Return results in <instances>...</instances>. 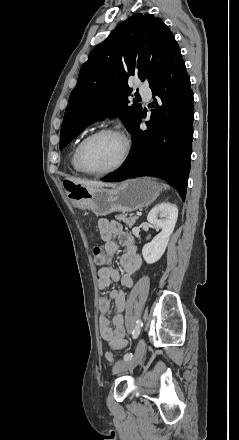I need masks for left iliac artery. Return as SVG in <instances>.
I'll return each instance as SVG.
<instances>
[{"label":"left iliac artery","instance_id":"1","mask_svg":"<svg viewBox=\"0 0 239 440\" xmlns=\"http://www.w3.org/2000/svg\"><path fill=\"white\" fill-rule=\"evenodd\" d=\"M142 326H143L142 321H141V320H137L136 326H135V328H134V330H133V332H132V338H133V339L138 338ZM132 356H133L132 353H127V354H125V355H124V360H129V359L132 358Z\"/></svg>","mask_w":239,"mask_h":440}]
</instances>
